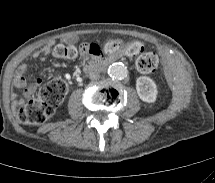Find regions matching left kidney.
<instances>
[{"instance_id":"left-kidney-1","label":"left kidney","mask_w":215,"mask_h":183,"mask_svg":"<svg viewBox=\"0 0 215 183\" xmlns=\"http://www.w3.org/2000/svg\"><path fill=\"white\" fill-rule=\"evenodd\" d=\"M136 90L139 98L147 103H153L156 101L158 90L154 81L146 76L137 78Z\"/></svg>"}]
</instances>
